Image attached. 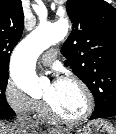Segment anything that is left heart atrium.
I'll return each instance as SVG.
<instances>
[{
    "mask_svg": "<svg viewBox=\"0 0 116 134\" xmlns=\"http://www.w3.org/2000/svg\"><path fill=\"white\" fill-rule=\"evenodd\" d=\"M59 83V80H55L53 83H52V86L55 88Z\"/></svg>",
    "mask_w": 116,
    "mask_h": 134,
    "instance_id": "39dd6f15",
    "label": "left heart atrium"
}]
</instances>
